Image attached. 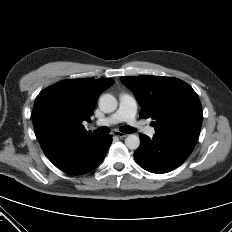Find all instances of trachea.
<instances>
[{
    "label": "trachea",
    "instance_id": "obj_1",
    "mask_svg": "<svg viewBox=\"0 0 232 232\" xmlns=\"http://www.w3.org/2000/svg\"><path fill=\"white\" fill-rule=\"evenodd\" d=\"M109 131L110 130L107 127H99L98 129L95 130V133L103 135V134H108ZM120 131L123 132V133H126V134H131V133L134 132V129L132 127H130V126H122L120 128Z\"/></svg>",
    "mask_w": 232,
    "mask_h": 232
}]
</instances>
